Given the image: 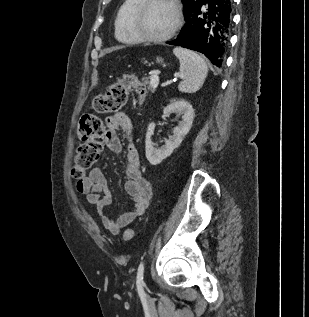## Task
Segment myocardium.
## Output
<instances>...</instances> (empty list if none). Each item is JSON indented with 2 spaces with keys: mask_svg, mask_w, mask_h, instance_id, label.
Instances as JSON below:
<instances>
[{
  "mask_svg": "<svg viewBox=\"0 0 309 317\" xmlns=\"http://www.w3.org/2000/svg\"><path fill=\"white\" fill-rule=\"evenodd\" d=\"M156 3H167L169 4L175 12L176 20L169 32L162 36H150L142 32L140 29V22L146 13V11ZM183 25V12L178 0H142V2L136 7L131 15L130 27L133 34L141 42L147 43H162L171 39L182 27Z\"/></svg>",
  "mask_w": 309,
  "mask_h": 317,
  "instance_id": "f54148a6",
  "label": "myocardium"
}]
</instances>
